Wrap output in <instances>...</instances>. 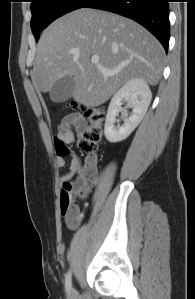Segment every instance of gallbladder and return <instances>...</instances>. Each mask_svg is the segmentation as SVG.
Instances as JSON below:
<instances>
[{
  "label": "gallbladder",
  "instance_id": "bac80fb5",
  "mask_svg": "<svg viewBox=\"0 0 195 299\" xmlns=\"http://www.w3.org/2000/svg\"><path fill=\"white\" fill-rule=\"evenodd\" d=\"M75 89V81L72 77L66 76L57 80L50 92L49 96L52 102L62 103L70 99Z\"/></svg>",
  "mask_w": 195,
  "mask_h": 299
}]
</instances>
